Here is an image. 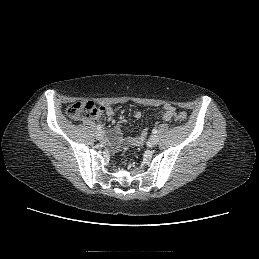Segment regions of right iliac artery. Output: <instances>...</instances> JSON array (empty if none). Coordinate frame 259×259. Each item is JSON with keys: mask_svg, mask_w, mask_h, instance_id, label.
<instances>
[{"mask_svg": "<svg viewBox=\"0 0 259 259\" xmlns=\"http://www.w3.org/2000/svg\"><path fill=\"white\" fill-rule=\"evenodd\" d=\"M96 127L98 130H101V128H102L101 125H97Z\"/></svg>", "mask_w": 259, "mask_h": 259, "instance_id": "82829eb1", "label": "right iliac artery"}]
</instances>
